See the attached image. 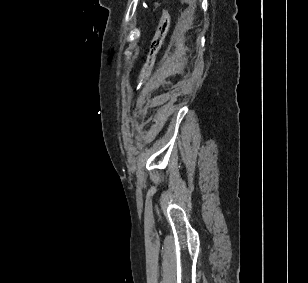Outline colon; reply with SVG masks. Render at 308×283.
<instances>
[{
    "label": "colon",
    "instance_id": "5ec220e1",
    "mask_svg": "<svg viewBox=\"0 0 308 283\" xmlns=\"http://www.w3.org/2000/svg\"><path fill=\"white\" fill-rule=\"evenodd\" d=\"M170 25V14L166 9H163L158 21V25L152 41L149 46V50L143 66L139 72L138 82L143 83L149 76L152 67L155 63L156 56L162 46V43L167 35Z\"/></svg>",
    "mask_w": 308,
    "mask_h": 283
}]
</instances>
